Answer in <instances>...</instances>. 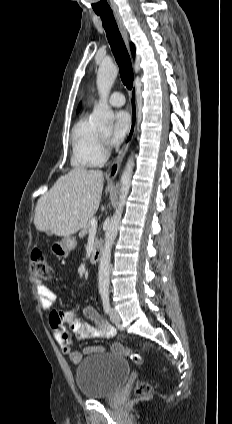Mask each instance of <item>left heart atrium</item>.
Returning a JSON list of instances; mask_svg holds the SVG:
<instances>
[{
  "label": "left heart atrium",
  "instance_id": "obj_1",
  "mask_svg": "<svg viewBox=\"0 0 232 424\" xmlns=\"http://www.w3.org/2000/svg\"><path fill=\"white\" fill-rule=\"evenodd\" d=\"M131 128V117L126 111H119L115 115L113 131L110 135V142L114 145L120 144L129 134Z\"/></svg>",
  "mask_w": 232,
  "mask_h": 424
}]
</instances>
